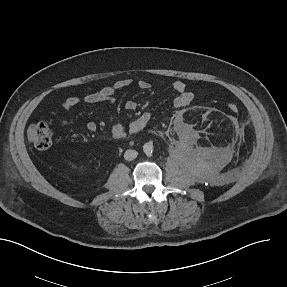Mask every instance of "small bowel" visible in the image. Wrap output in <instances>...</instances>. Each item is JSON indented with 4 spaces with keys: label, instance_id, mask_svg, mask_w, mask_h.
<instances>
[{
    "label": "small bowel",
    "instance_id": "c3829d8e",
    "mask_svg": "<svg viewBox=\"0 0 287 287\" xmlns=\"http://www.w3.org/2000/svg\"><path fill=\"white\" fill-rule=\"evenodd\" d=\"M131 84L132 79L130 78L121 79L110 86L103 87L99 91L89 93L83 97H68L61 102V107L68 110L80 103H96L101 101H108L113 103L115 100V94L118 91L130 86ZM138 86L143 90H148L151 88V84L145 80H140L138 82ZM170 88L176 93V96L173 99V107L183 108L192 102L194 95L190 90L187 89L184 82L176 80L171 84ZM125 108L129 111H133L137 108V104L133 100H128L125 103ZM151 119V114L146 112L134 119L130 124L125 126L119 123L116 117H111L109 123L110 135L116 140H121L128 135L137 134L143 131L149 125ZM57 122L59 125L63 126L67 123V120L64 116L60 115L57 117ZM96 128L97 126L94 122L87 123V129L89 131H95Z\"/></svg>",
    "mask_w": 287,
    "mask_h": 287
}]
</instances>
